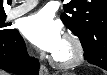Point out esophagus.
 <instances>
[{
  "instance_id": "34e87169",
  "label": "esophagus",
  "mask_w": 107,
  "mask_h": 75,
  "mask_svg": "<svg viewBox=\"0 0 107 75\" xmlns=\"http://www.w3.org/2000/svg\"><path fill=\"white\" fill-rule=\"evenodd\" d=\"M40 75H49L47 67L43 64L40 65Z\"/></svg>"
}]
</instances>
